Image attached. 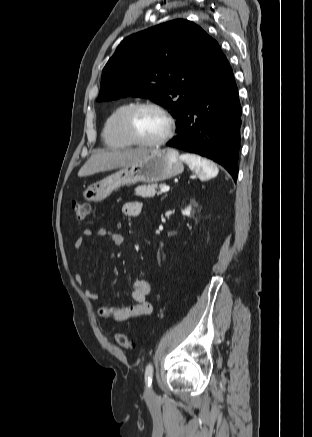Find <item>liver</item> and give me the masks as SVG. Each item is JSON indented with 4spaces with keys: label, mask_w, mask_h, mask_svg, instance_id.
I'll list each match as a JSON object with an SVG mask.
<instances>
[{
    "label": "liver",
    "mask_w": 312,
    "mask_h": 437,
    "mask_svg": "<svg viewBox=\"0 0 312 437\" xmlns=\"http://www.w3.org/2000/svg\"><path fill=\"white\" fill-rule=\"evenodd\" d=\"M146 149H127L123 151L98 150L79 170L78 176L85 177L132 164L146 155Z\"/></svg>",
    "instance_id": "liver-1"
}]
</instances>
